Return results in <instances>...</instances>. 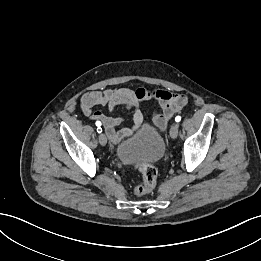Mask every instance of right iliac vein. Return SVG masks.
<instances>
[{
	"label": "right iliac vein",
	"instance_id": "obj_1",
	"mask_svg": "<svg viewBox=\"0 0 261 261\" xmlns=\"http://www.w3.org/2000/svg\"><path fill=\"white\" fill-rule=\"evenodd\" d=\"M99 143L102 145V146H105L106 145V143H107V138H106V136H105V134H100L99 135Z\"/></svg>",
	"mask_w": 261,
	"mask_h": 261
}]
</instances>
